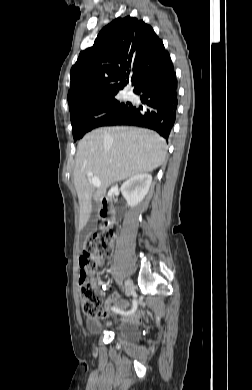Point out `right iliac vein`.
<instances>
[{"mask_svg": "<svg viewBox=\"0 0 252 390\" xmlns=\"http://www.w3.org/2000/svg\"><path fill=\"white\" fill-rule=\"evenodd\" d=\"M125 287H126V290H125V293L127 296H131L134 292V285H133V282L128 279L125 283Z\"/></svg>", "mask_w": 252, "mask_h": 390, "instance_id": "right-iliac-vein-1", "label": "right iliac vein"}]
</instances>
